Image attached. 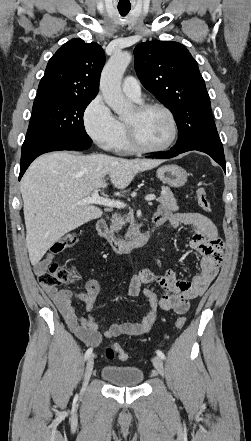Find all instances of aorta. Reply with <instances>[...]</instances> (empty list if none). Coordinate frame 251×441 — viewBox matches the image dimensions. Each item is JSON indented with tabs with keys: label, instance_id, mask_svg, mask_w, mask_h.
I'll return each instance as SVG.
<instances>
[{
	"label": "aorta",
	"instance_id": "1",
	"mask_svg": "<svg viewBox=\"0 0 251 441\" xmlns=\"http://www.w3.org/2000/svg\"><path fill=\"white\" fill-rule=\"evenodd\" d=\"M131 59L128 52L114 53L104 66L100 78V90L106 104L120 116L127 115L132 107L121 90V79Z\"/></svg>",
	"mask_w": 251,
	"mask_h": 441
}]
</instances>
